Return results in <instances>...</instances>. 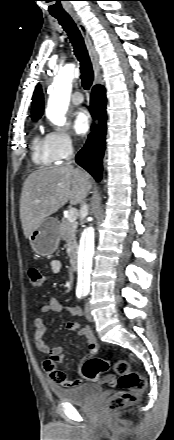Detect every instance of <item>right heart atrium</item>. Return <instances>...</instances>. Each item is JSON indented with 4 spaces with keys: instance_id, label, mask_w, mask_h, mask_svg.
Masks as SVG:
<instances>
[{
    "instance_id": "1",
    "label": "right heart atrium",
    "mask_w": 174,
    "mask_h": 440,
    "mask_svg": "<svg viewBox=\"0 0 174 440\" xmlns=\"http://www.w3.org/2000/svg\"><path fill=\"white\" fill-rule=\"evenodd\" d=\"M51 153L56 161L67 159L74 151V140L65 130L56 129L47 135Z\"/></svg>"
}]
</instances>
